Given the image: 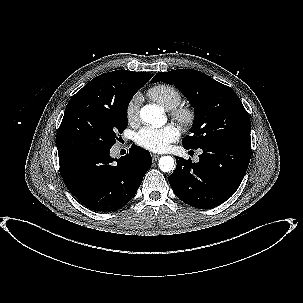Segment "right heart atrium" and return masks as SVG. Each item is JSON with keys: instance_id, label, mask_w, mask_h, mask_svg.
Listing matches in <instances>:
<instances>
[{"instance_id": "d8ad5b80", "label": "right heart atrium", "mask_w": 303, "mask_h": 303, "mask_svg": "<svg viewBox=\"0 0 303 303\" xmlns=\"http://www.w3.org/2000/svg\"><path fill=\"white\" fill-rule=\"evenodd\" d=\"M141 104L140 95H134L126 105V117L130 123H136L139 120V109Z\"/></svg>"}]
</instances>
